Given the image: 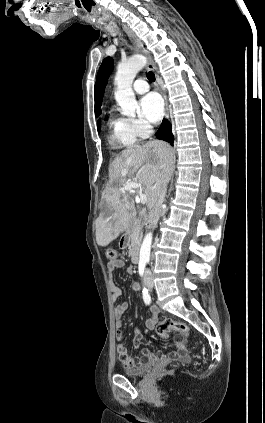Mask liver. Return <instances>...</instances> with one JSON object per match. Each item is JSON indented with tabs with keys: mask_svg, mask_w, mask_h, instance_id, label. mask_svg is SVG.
Listing matches in <instances>:
<instances>
[{
	"mask_svg": "<svg viewBox=\"0 0 265 423\" xmlns=\"http://www.w3.org/2000/svg\"><path fill=\"white\" fill-rule=\"evenodd\" d=\"M173 169V149L169 144L157 140L126 148L110 163L109 183L102 199L112 215L100 217L96 222L99 246H107L126 228L128 210L133 206L132 193L120 187L129 181L140 184L137 191L146 195L147 207L152 209Z\"/></svg>",
	"mask_w": 265,
	"mask_h": 423,
	"instance_id": "liver-1",
	"label": "liver"
}]
</instances>
